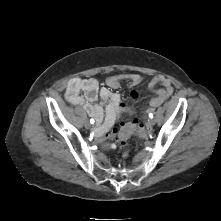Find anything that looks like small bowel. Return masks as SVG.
Instances as JSON below:
<instances>
[{
	"mask_svg": "<svg viewBox=\"0 0 221 221\" xmlns=\"http://www.w3.org/2000/svg\"><path fill=\"white\" fill-rule=\"evenodd\" d=\"M122 81H128L131 86H136L143 81V77L139 74L113 75L106 79L104 87H100L94 78L75 77L67 84L65 91L67 101L83 107L88 115L96 120L94 133L99 138L113 140L118 132L114 125L121 114L133 112L122 102L120 95L113 91L120 87ZM158 85L160 88H156ZM149 88L155 92V96L150 101L152 108L162 104L173 93L172 82L162 75L152 77ZM132 96L136 97V93ZM97 98H100L101 104H105V111L102 105L96 102ZM137 122L142 126L139 121Z\"/></svg>",
	"mask_w": 221,
	"mask_h": 221,
	"instance_id": "c3829d8e",
	"label": "small bowel"
}]
</instances>
